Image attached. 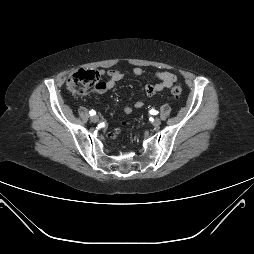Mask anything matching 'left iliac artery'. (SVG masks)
<instances>
[{
  "label": "left iliac artery",
  "mask_w": 254,
  "mask_h": 254,
  "mask_svg": "<svg viewBox=\"0 0 254 254\" xmlns=\"http://www.w3.org/2000/svg\"><path fill=\"white\" fill-rule=\"evenodd\" d=\"M150 114H152V115H156V114H158V111H157V110H155V109H152V110H150Z\"/></svg>",
  "instance_id": "left-iliac-artery-1"
}]
</instances>
